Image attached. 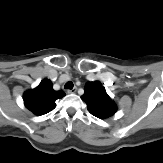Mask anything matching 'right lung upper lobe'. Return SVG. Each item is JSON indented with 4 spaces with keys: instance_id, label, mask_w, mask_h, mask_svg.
Masks as SVG:
<instances>
[{
    "instance_id": "1",
    "label": "right lung upper lobe",
    "mask_w": 163,
    "mask_h": 163,
    "mask_svg": "<svg viewBox=\"0 0 163 163\" xmlns=\"http://www.w3.org/2000/svg\"><path fill=\"white\" fill-rule=\"evenodd\" d=\"M65 96V93L55 91L50 80L44 79L40 84L24 93L23 99L25 106L36 115H44L52 111L55 107V101Z\"/></svg>"
}]
</instances>
